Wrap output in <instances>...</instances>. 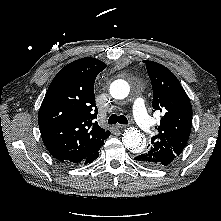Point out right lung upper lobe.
<instances>
[{"label": "right lung upper lobe", "instance_id": "cb5924a9", "mask_svg": "<svg viewBox=\"0 0 221 221\" xmlns=\"http://www.w3.org/2000/svg\"><path fill=\"white\" fill-rule=\"evenodd\" d=\"M105 67L96 58H82L66 65L52 80L38 123L44 145L57 160L82 164L109 137V131L93 122L98 114L94 81Z\"/></svg>", "mask_w": 221, "mask_h": 221}]
</instances>
